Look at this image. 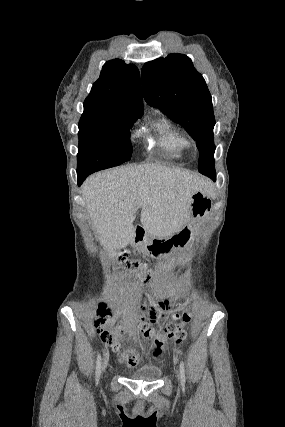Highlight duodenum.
<instances>
[{
	"instance_id": "obj_1",
	"label": "duodenum",
	"mask_w": 285,
	"mask_h": 427,
	"mask_svg": "<svg viewBox=\"0 0 285 427\" xmlns=\"http://www.w3.org/2000/svg\"><path fill=\"white\" fill-rule=\"evenodd\" d=\"M130 242L137 246H144L146 242V231L142 226H136L131 232Z\"/></svg>"
}]
</instances>
